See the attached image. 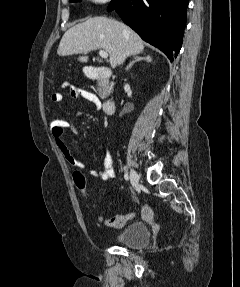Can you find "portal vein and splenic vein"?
<instances>
[{
	"mask_svg": "<svg viewBox=\"0 0 240 287\" xmlns=\"http://www.w3.org/2000/svg\"><path fill=\"white\" fill-rule=\"evenodd\" d=\"M99 55H100L101 58H103V59H107V58H108V53H107L105 50H103V49H101V50L99 51Z\"/></svg>",
	"mask_w": 240,
	"mask_h": 287,
	"instance_id": "1",
	"label": "portal vein and splenic vein"
}]
</instances>
